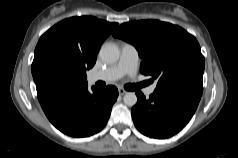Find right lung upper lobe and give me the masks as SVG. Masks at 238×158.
I'll return each mask as SVG.
<instances>
[{
    "mask_svg": "<svg viewBox=\"0 0 238 158\" xmlns=\"http://www.w3.org/2000/svg\"><path fill=\"white\" fill-rule=\"evenodd\" d=\"M118 25V23H109L92 16L65 19L41 36L34 58L43 49L56 47L74 60L80 73L79 84H87L85 71L94 66L101 44ZM33 78L35 82L40 81L34 76Z\"/></svg>",
    "mask_w": 238,
    "mask_h": 158,
    "instance_id": "obj_1",
    "label": "right lung upper lobe"
}]
</instances>
